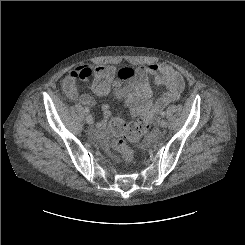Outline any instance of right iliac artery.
Here are the masks:
<instances>
[{"label":"right iliac artery","instance_id":"right-iliac-artery-1","mask_svg":"<svg viewBox=\"0 0 245 245\" xmlns=\"http://www.w3.org/2000/svg\"><path fill=\"white\" fill-rule=\"evenodd\" d=\"M85 112L89 113V108L88 107H85Z\"/></svg>","mask_w":245,"mask_h":245}]
</instances>
